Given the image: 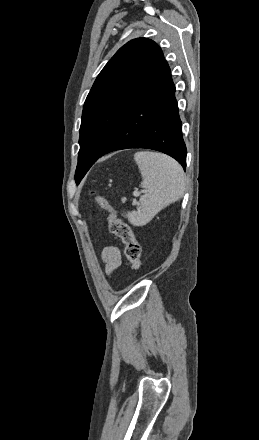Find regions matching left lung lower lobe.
I'll list each match as a JSON object with an SVG mask.
<instances>
[{
    "instance_id": "1",
    "label": "left lung lower lobe",
    "mask_w": 259,
    "mask_h": 440,
    "mask_svg": "<svg viewBox=\"0 0 259 440\" xmlns=\"http://www.w3.org/2000/svg\"><path fill=\"white\" fill-rule=\"evenodd\" d=\"M127 148L163 152L176 159L184 170L186 168V146L182 138L175 85L164 56L98 158Z\"/></svg>"
}]
</instances>
